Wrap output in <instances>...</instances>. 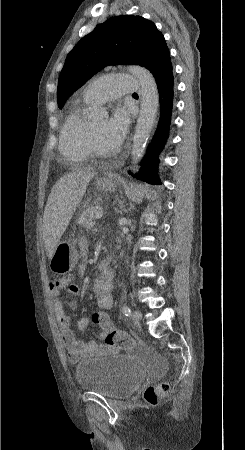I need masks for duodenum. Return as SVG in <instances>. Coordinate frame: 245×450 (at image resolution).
Masks as SVG:
<instances>
[{
    "mask_svg": "<svg viewBox=\"0 0 245 450\" xmlns=\"http://www.w3.org/2000/svg\"><path fill=\"white\" fill-rule=\"evenodd\" d=\"M99 269L101 272H108L111 270L110 263L107 261H102L99 263Z\"/></svg>",
    "mask_w": 245,
    "mask_h": 450,
    "instance_id": "duodenum-1",
    "label": "duodenum"
}]
</instances>
